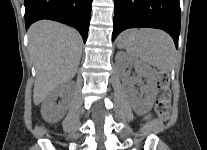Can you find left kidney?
Returning <instances> with one entry per match:
<instances>
[{"label": "left kidney", "instance_id": "1", "mask_svg": "<svg viewBox=\"0 0 207 150\" xmlns=\"http://www.w3.org/2000/svg\"><path fill=\"white\" fill-rule=\"evenodd\" d=\"M116 60L122 69V79L125 84L126 93L129 97L131 106L137 115H145L148 113L154 104L156 95V76L153 69L141 62L140 60L127 55L124 52H119L116 55ZM127 66L134 67L140 77L146 78V85L144 86V97H137L132 89V81L130 80L124 68Z\"/></svg>", "mask_w": 207, "mask_h": 150}]
</instances>
